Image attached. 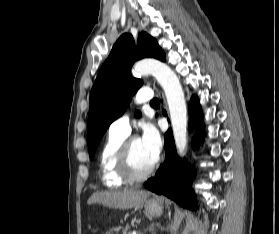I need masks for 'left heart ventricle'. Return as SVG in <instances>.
Masks as SVG:
<instances>
[{
    "instance_id": "b2bd125f",
    "label": "left heart ventricle",
    "mask_w": 279,
    "mask_h": 234,
    "mask_svg": "<svg viewBox=\"0 0 279 234\" xmlns=\"http://www.w3.org/2000/svg\"><path fill=\"white\" fill-rule=\"evenodd\" d=\"M156 159L150 152L143 146L140 139H134L131 143V162L137 172H143Z\"/></svg>"
}]
</instances>
